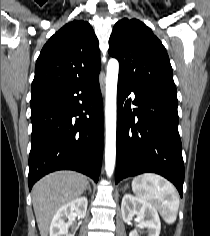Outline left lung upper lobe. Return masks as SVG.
Returning <instances> with one entry per match:
<instances>
[{
  "label": "left lung upper lobe",
  "instance_id": "left-lung-upper-lobe-1",
  "mask_svg": "<svg viewBox=\"0 0 210 236\" xmlns=\"http://www.w3.org/2000/svg\"><path fill=\"white\" fill-rule=\"evenodd\" d=\"M109 54L119 61V78L135 87L176 92L166 49L137 19H122L113 28Z\"/></svg>",
  "mask_w": 210,
  "mask_h": 236
}]
</instances>
